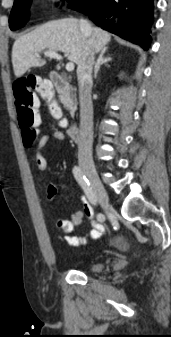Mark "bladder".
Here are the masks:
<instances>
[{
  "mask_svg": "<svg viewBox=\"0 0 171 337\" xmlns=\"http://www.w3.org/2000/svg\"><path fill=\"white\" fill-rule=\"evenodd\" d=\"M87 268L91 272H99L103 268V264L101 262H95L90 264Z\"/></svg>",
  "mask_w": 171,
  "mask_h": 337,
  "instance_id": "bladder-1",
  "label": "bladder"
}]
</instances>
